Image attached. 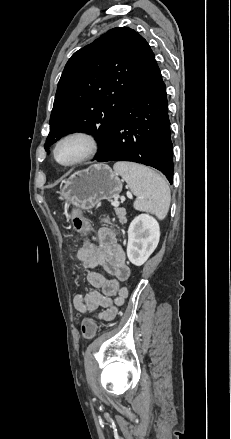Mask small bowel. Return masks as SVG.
I'll return each mask as SVG.
<instances>
[{"instance_id": "1", "label": "small bowel", "mask_w": 231, "mask_h": 439, "mask_svg": "<svg viewBox=\"0 0 231 439\" xmlns=\"http://www.w3.org/2000/svg\"><path fill=\"white\" fill-rule=\"evenodd\" d=\"M82 254L89 257L83 266L88 269L87 280L92 288L83 294H75L73 306L82 314L111 321L128 295L127 290L120 287V282L130 275L125 252L116 233L110 228H101L96 243H85L78 250V259ZM97 267H102L112 278L96 271Z\"/></svg>"}]
</instances>
